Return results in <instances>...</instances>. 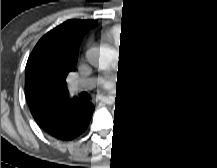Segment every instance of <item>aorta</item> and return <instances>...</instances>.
I'll use <instances>...</instances> for the list:
<instances>
[{"label":"aorta","mask_w":217,"mask_h":168,"mask_svg":"<svg viewBox=\"0 0 217 168\" xmlns=\"http://www.w3.org/2000/svg\"><path fill=\"white\" fill-rule=\"evenodd\" d=\"M86 58L91 65L100 69L107 68L111 61L108 49L105 46H97L89 49L86 53ZM114 110L115 107L113 108V114Z\"/></svg>","instance_id":"obj_1"}]
</instances>
